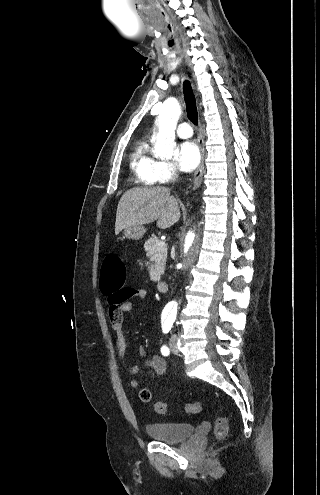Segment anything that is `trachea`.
<instances>
[{
  "label": "trachea",
  "instance_id": "trachea-1",
  "mask_svg": "<svg viewBox=\"0 0 320 495\" xmlns=\"http://www.w3.org/2000/svg\"><path fill=\"white\" fill-rule=\"evenodd\" d=\"M183 93H184L188 118L193 124L197 125L198 111H197L194 93L191 84L188 80H185L183 83Z\"/></svg>",
  "mask_w": 320,
  "mask_h": 495
}]
</instances>
